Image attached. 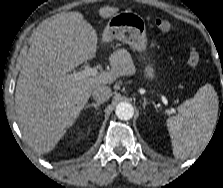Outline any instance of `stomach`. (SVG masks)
I'll use <instances>...</instances> for the list:
<instances>
[{
	"label": "stomach",
	"mask_w": 223,
	"mask_h": 188,
	"mask_svg": "<svg viewBox=\"0 0 223 188\" xmlns=\"http://www.w3.org/2000/svg\"><path fill=\"white\" fill-rule=\"evenodd\" d=\"M104 33L109 40L116 39L130 45L139 52L146 48V26L144 19L132 12L125 11L113 15ZM145 78L152 80L155 78L154 69L151 65L145 68Z\"/></svg>",
	"instance_id": "1"
}]
</instances>
